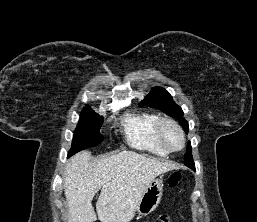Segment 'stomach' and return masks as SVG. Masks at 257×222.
I'll list each match as a JSON object with an SVG mask.
<instances>
[{
  "mask_svg": "<svg viewBox=\"0 0 257 222\" xmlns=\"http://www.w3.org/2000/svg\"><path fill=\"white\" fill-rule=\"evenodd\" d=\"M163 193L162 178L154 179L143 193L136 211L140 216H147L159 205Z\"/></svg>",
  "mask_w": 257,
  "mask_h": 222,
  "instance_id": "0dacf381",
  "label": "stomach"
}]
</instances>
